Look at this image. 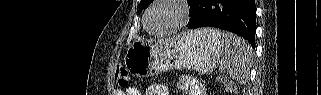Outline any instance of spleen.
<instances>
[{
    "mask_svg": "<svg viewBox=\"0 0 321 95\" xmlns=\"http://www.w3.org/2000/svg\"><path fill=\"white\" fill-rule=\"evenodd\" d=\"M201 31L222 43L224 56L220 61V71L239 83H245L253 60V50L250 44L229 32H220L210 28Z\"/></svg>",
    "mask_w": 321,
    "mask_h": 95,
    "instance_id": "3e777b00",
    "label": "spleen"
}]
</instances>
